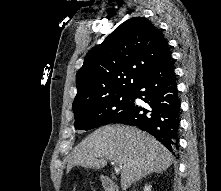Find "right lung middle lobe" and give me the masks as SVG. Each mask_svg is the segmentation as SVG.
<instances>
[{"instance_id": "right-lung-middle-lobe-1", "label": "right lung middle lobe", "mask_w": 221, "mask_h": 191, "mask_svg": "<svg viewBox=\"0 0 221 191\" xmlns=\"http://www.w3.org/2000/svg\"><path fill=\"white\" fill-rule=\"evenodd\" d=\"M132 99L133 91H128L75 112V129L90 130L103 124L119 122L128 113Z\"/></svg>"}]
</instances>
